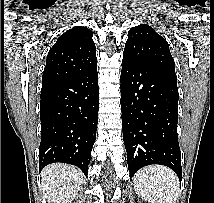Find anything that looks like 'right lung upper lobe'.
Masks as SVG:
<instances>
[{
    "label": "right lung upper lobe",
    "instance_id": "cb5924a9",
    "mask_svg": "<svg viewBox=\"0 0 214 203\" xmlns=\"http://www.w3.org/2000/svg\"><path fill=\"white\" fill-rule=\"evenodd\" d=\"M93 33L75 26L62 34L50 49L42 76V89L78 76L97 65Z\"/></svg>",
    "mask_w": 214,
    "mask_h": 203
}]
</instances>
